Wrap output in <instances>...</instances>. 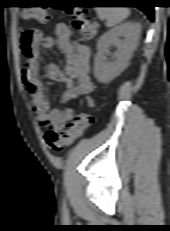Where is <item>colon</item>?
I'll return each instance as SVG.
<instances>
[{"mask_svg": "<svg viewBox=\"0 0 170 231\" xmlns=\"http://www.w3.org/2000/svg\"><path fill=\"white\" fill-rule=\"evenodd\" d=\"M67 17L71 20L72 27L78 31L84 39L91 40L96 34V23L89 19L87 11L81 8H70L65 11ZM24 17L40 23H46L50 19L49 13L42 8L26 9ZM93 116L90 111H84L77 114L68 124L64 131H48L45 134L47 147L60 152L66 147L72 145L77 139L83 136L85 131L91 126Z\"/></svg>", "mask_w": 170, "mask_h": 231, "instance_id": "colon-1", "label": "colon"}]
</instances>
